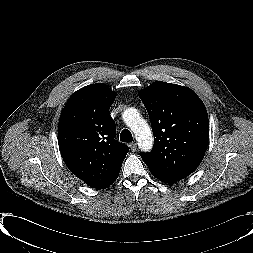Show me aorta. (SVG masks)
<instances>
[{"label": "aorta", "instance_id": "1", "mask_svg": "<svg viewBox=\"0 0 253 253\" xmlns=\"http://www.w3.org/2000/svg\"><path fill=\"white\" fill-rule=\"evenodd\" d=\"M123 120L133 131L138 146L143 151L151 150L153 146V135L148 123L140 116L135 108H127L123 112Z\"/></svg>", "mask_w": 253, "mask_h": 253}]
</instances>
